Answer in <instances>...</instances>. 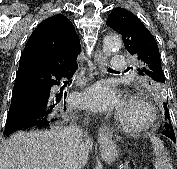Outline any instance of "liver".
Returning a JSON list of instances; mask_svg holds the SVG:
<instances>
[{"instance_id": "6515ba94", "label": "liver", "mask_w": 177, "mask_h": 169, "mask_svg": "<svg viewBox=\"0 0 177 169\" xmlns=\"http://www.w3.org/2000/svg\"><path fill=\"white\" fill-rule=\"evenodd\" d=\"M60 132V128H52L14 134L0 150V169H61ZM92 145L89 140H81V167L87 163Z\"/></svg>"}]
</instances>
